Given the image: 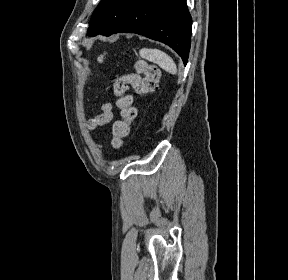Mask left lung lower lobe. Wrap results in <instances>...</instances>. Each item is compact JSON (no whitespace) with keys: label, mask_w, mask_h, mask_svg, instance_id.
Returning <instances> with one entry per match:
<instances>
[{"label":"left lung lower lobe","mask_w":288,"mask_h":280,"mask_svg":"<svg viewBox=\"0 0 288 280\" xmlns=\"http://www.w3.org/2000/svg\"><path fill=\"white\" fill-rule=\"evenodd\" d=\"M192 19L186 0H140L114 33H136L170 46L187 64Z\"/></svg>","instance_id":"1"}]
</instances>
